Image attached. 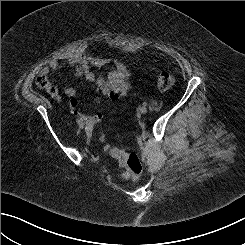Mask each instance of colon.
<instances>
[{
  "label": "colon",
  "mask_w": 245,
  "mask_h": 245,
  "mask_svg": "<svg viewBox=\"0 0 245 245\" xmlns=\"http://www.w3.org/2000/svg\"><path fill=\"white\" fill-rule=\"evenodd\" d=\"M174 76L169 72H162L157 79V86L160 90L165 91L172 88L174 85ZM36 85L46 90L47 92H56L55 88L51 84L49 77L46 73H41L36 79ZM105 150L113 156L119 164L123 167L122 176L126 180L137 181L142 173V163L139 156L134 152H126L124 150L115 148L110 144H105Z\"/></svg>",
  "instance_id": "colon-1"
}]
</instances>
